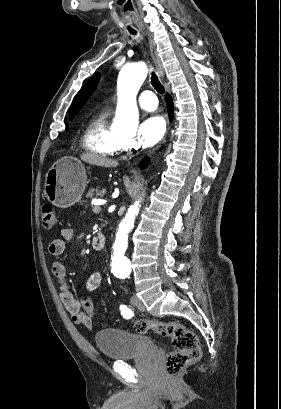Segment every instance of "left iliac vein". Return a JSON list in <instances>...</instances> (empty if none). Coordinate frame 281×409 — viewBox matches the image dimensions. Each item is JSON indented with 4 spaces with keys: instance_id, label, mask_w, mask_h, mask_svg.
I'll use <instances>...</instances> for the list:
<instances>
[{
    "instance_id": "left-iliac-vein-1",
    "label": "left iliac vein",
    "mask_w": 281,
    "mask_h": 409,
    "mask_svg": "<svg viewBox=\"0 0 281 409\" xmlns=\"http://www.w3.org/2000/svg\"><path fill=\"white\" fill-rule=\"evenodd\" d=\"M131 303H132V305L137 306V307H139V306L142 305L141 299H140L139 296H137L136 294H134V295L131 297Z\"/></svg>"
}]
</instances>
